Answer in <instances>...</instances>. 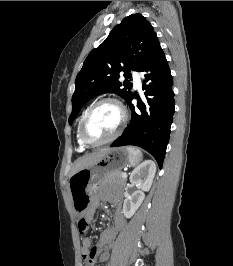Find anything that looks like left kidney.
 <instances>
[{
  "label": "left kidney",
  "instance_id": "obj_1",
  "mask_svg": "<svg viewBox=\"0 0 233 266\" xmlns=\"http://www.w3.org/2000/svg\"><path fill=\"white\" fill-rule=\"evenodd\" d=\"M156 173V165L152 160H146L138 165L130 175L131 184L138 190L127 196L123 204V213L126 218H131L142 204L145 194L150 190Z\"/></svg>",
  "mask_w": 233,
  "mask_h": 266
}]
</instances>
